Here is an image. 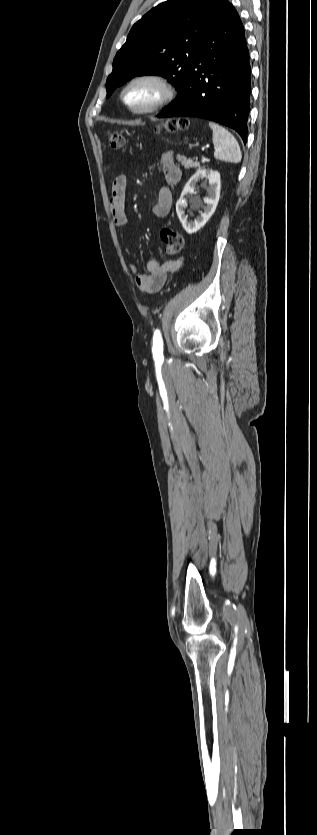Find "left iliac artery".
Instances as JSON below:
<instances>
[{"label":"left iliac artery","instance_id":"obj_1","mask_svg":"<svg viewBox=\"0 0 317 835\" xmlns=\"http://www.w3.org/2000/svg\"><path fill=\"white\" fill-rule=\"evenodd\" d=\"M152 353L156 361H163V340L159 329L154 331Z\"/></svg>","mask_w":317,"mask_h":835}]
</instances>
